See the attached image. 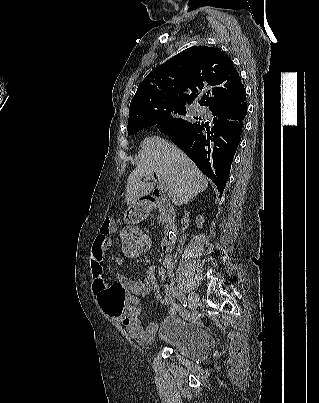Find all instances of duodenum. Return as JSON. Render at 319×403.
Wrapping results in <instances>:
<instances>
[{
    "instance_id": "obj_1",
    "label": "duodenum",
    "mask_w": 319,
    "mask_h": 403,
    "mask_svg": "<svg viewBox=\"0 0 319 403\" xmlns=\"http://www.w3.org/2000/svg\"><path fill=\"white\" fill-rule=\"evenodd\" d=\"M142 199V202L136 207V214L139 217L144 218L152 209L159 208L164 220L162 248L167 251L172 250L178 234L174 208L166 200L164 194L159 190H156L151 195L143 197Z\"/></svg>"
}]
</instances>
